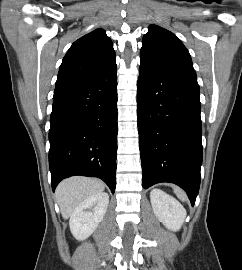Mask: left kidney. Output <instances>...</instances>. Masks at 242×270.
I'll use <instances>...</instances> for the list:
<instances>
[{"instance_id":"5707ae66","label":"left kidney","mask_w":242,"mask_h":270,"mask_svg":"<svg viewBox=\"0 0 242 270\" xmlns=\"http://www.w3.org/2000/svg\"><path fill=\"white\" fill-rule=\"evenodd\" d=\"M154 214L168 229L177 231L186 218L184 207L173 197L159 189L150 192Z\"/></svg>"}]
</instances>
